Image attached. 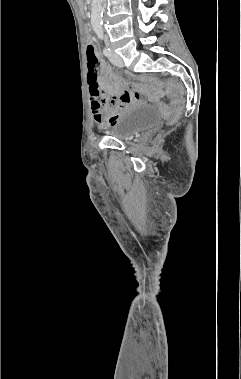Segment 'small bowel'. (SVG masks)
<instances>
[{
    "instance_id": "c3829d8e",
    "label": "small bowel",
    "mask_w": 241,
    "mask_h": 379,
    "mask_svg": "<svg viewBox=\"0 0 241 379\" xmlns=\"http://www.w3.org/2000/svg\"><path fill=\"white\" fill-rule=\"evenodd\" d=\"M97 85L95 89L89 88V98L92 118L99 126L119 125L121 113L141 101L139 91L129 89L104 66L101 68V77ZM128 86L138 87L134 82H129ZM155 99V96H151L148 100L151 102Z\"/></svg>"
}]
</instances>
